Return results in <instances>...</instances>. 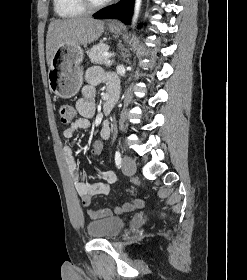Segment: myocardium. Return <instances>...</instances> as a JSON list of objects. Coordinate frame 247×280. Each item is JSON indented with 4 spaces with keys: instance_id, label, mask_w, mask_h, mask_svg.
<instances>
[{
    "instance_id": "1",
    "label": "myocardium",
    "mask_w": 247,
    "mask_h": 280,
    "mask_svg": "<svg viewBox=\"0 0 247 280\" xmlns=\"http://www.w3.org/2000/svg\"><path fill=\"white\" fill-rule=\"evenodd\" d=\"M112 0H103L100 2H96L95 0H79L80 4L86 10H98L105 6H107Z\"/></svg>"
}]
</instances>
